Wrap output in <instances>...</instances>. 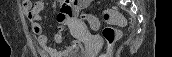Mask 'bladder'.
<instances>
[{"mask_svg": "<svg viewBox=\"0 0 172 57\" xmlns=\"http://www.w3.org/2000/svg\"><path fill=\"white\" fill-rule=\"evenodd\" d=\"M86 52H83L81 54H71L68 55L67 57H87V55H85Z\"/></svg>", "mask_w": 172, "mask_h": 57, "instance_id": "bladder-1", "label": "bladder"}]
</instances>
